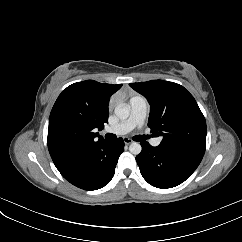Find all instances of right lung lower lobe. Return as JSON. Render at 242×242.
Listing matches in <instances>:
<instances>
[{
  "label": "right lung lower lobe",
  "mask_w": 242,
  "mask_h": 242,
  "mask_svg": "<svg viewBox=\"0 0 242 242\" xmlns=\"http://www.w3.org/2000/svg\"><path fill=\"white\" fill-rule=\"evenodd\" d=\"M124 141H100L89 145L64 161L55 164L61 175L84 190H97L107 185L114 176Z\"/></svg>",
  "instance_id": "1"
}]
</instances>
